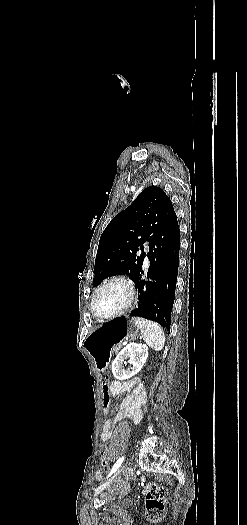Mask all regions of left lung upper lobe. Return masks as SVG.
<instances>
[{
  "mask_svg": "<svg viewBox=\"0 0 247 525\" xmlns=\"http://www.w3.org/2000/svg\"><path fill=\"white\" fill-rule=\"evenodd\" d=\"M174 213L172 202L161 188H145L103 231L95 260L93 285L97 286L116 274H126L134 281L142 269L144 241L150 243ZM139 249L142 252L137 255Z\"/></svg>",
  "mask_w": 247,
  "mask_h": 525,
  "instance_id": "obj_1",
  "label": "left lung upper lobe"
}]
</instances>
